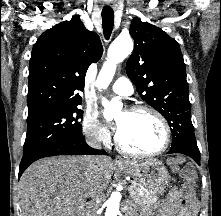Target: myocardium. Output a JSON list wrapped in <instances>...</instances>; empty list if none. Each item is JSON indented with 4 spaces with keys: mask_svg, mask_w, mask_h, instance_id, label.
Wrapping results in <instances>:
<instances>
[{
    "mask_svg": "<svg viewBox=\"0 0 221 216\" xmlns=\"http://www.w3.org/2000/svg\"><path fill=\"white\" fill-rule=\"evenodd\" d=\"M129 112L130 113L145 112V113H149V114L153 115L154 117H156V119L162 125L163 131H164L163 143L155 151L138 152V151H134V150H131V149L125 147L121 143V141L119 140L118 135H117L116 136V146H117L118 150H120L122 153H124L128 156L142 157V158L154 157V156L162 154L169 147V145L171 143V138H172L171 128H170V125H169L168 121L166 120V118L162 115L161 112H159L157 109H155L154 107H151L149 105H136V106H133L129 110Z\"/></svg>",
    "mask_w": 221,
    "mask_h": 216,
    "instance_id": "obj_1",
    "label": "myocardium"
}]
</instances>
